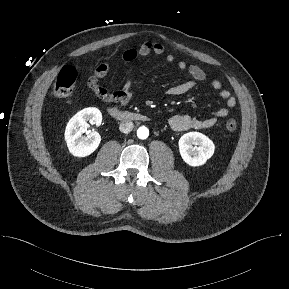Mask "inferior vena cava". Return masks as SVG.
Here are the masks:
<instances>
[{
    "label": "inferior vena cava",
    "mask_w": 289,
    "mask_h": 289,
    "mask_svg": "<svg viewBox=\"0 0 289 289\" xmlns=\"http://www.w3.org/2000/svg\"><path fill=\"white\" fill-rule=\"evenodd\" d=\"M134 127V124L133 122L129 121V120H125V121H122L119 125V130L122 132V133H129L132 131Z\"/></svg>",
    "instance_id": "inferior-vena-cava-1"
}]
</instances>
